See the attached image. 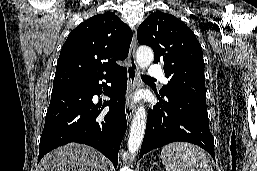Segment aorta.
I'll list each match as a JSON object with an SVG mask.
<instances>
[{"mask_svg":"<svg viewBox=\"0 0 257 171\" xmlns=\"http://www.w3.org/2000/svg\"><path fill=\"white\" fill-rule=\"evenodd\" d=\"M153 59L154 54L151 48L140 46L137 49L136 61L140 68L146 69L153 62ZM146 116L144 106H140L133 117L128 140V150L131 155H134L141 146L146 128Z\"/></svg>","mask_w":257,"mask_h":171,"instance_id":"obj_1","label":"aorta"}]
</instances>
